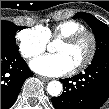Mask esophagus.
<instances>
[{
	"mask_svg": "<svg viewBox=\"0 0 109 109\" xmlns=\"http://www.w3.org/2000/svg\"><path fill=\"white\" fill-rule=\"evenodd\" d=\"M43 82H48V81H50L51 79L50 78H47V77H43V76H41V77H39Z\"/></svg>",
	"mask_w": 109,
	"mask_h": 109,
	"instance_id": "1",
	"label": "esophagus"
}]
</instances>
